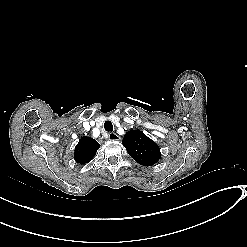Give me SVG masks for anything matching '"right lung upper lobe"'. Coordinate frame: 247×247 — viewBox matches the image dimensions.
<instances>
[{
    "label": "right lung upper lobe",
    "mask_w": 247,
    "mask_h": 247,
    "mask_svg": "<svg viewBox=\"0 0 247 247\" xmlns=\"http://www.w3.org/2000/svg\"><path fill=\"white\" fill-rule=\"evenodd\" d=\"M99 147L96 140L83 136L75 147V161L81 164L88 163L95 156Z\"/></svg>",
    "instance_id": "cb5924a9"
}]
</instances>
